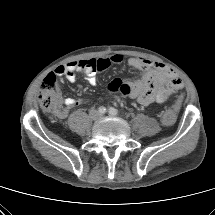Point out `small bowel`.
I'll return each instance as SVG.
<instances>
[{"instance_id":"obj_1","label":"small bowel","mask_w":215,"mask_h":215,"mask_svg":"<svg viewBox=\"0 0 215 215\" xmlns=\"http://www.w3.org/2000/svg\"><path fill=\"white\" fill-rule=\"evenodd\" d=\"M123 56L114 54L107 58L84 59L71 61L65 65L57 67L53 74L64 77L69 82H75L76 74L86 75L90 85L97 84V73L106 70L112 64L123 62ZM130 66L143 72L142 77L133 82H125L119 78L113 79L108 84L111 93L119 92L123 96L129 97L138 104L147 106L153 102H164L174 92L183 87V83L176 74L162 63L149 59L131 57L128 60ZM66 108H72L82 104L81 100L68 97L64 100ZM65 111L58 112L59 117H63Z\"/></svg>"}]
</instances>
